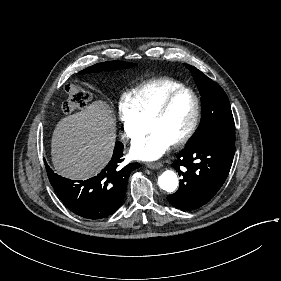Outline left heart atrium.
Listing matches in <instances>:
<instances>
[{
	"label": "left heart atrium",
	"mask_w": 281,
	"mask_h": 281,
	"mask_svg": "<svg viewBox=\"0 0 281 281\" xmlns=\"http://www.w3.org/2000/svg\"><path fill=\"white\" fill-rule=\"evenodd\" d=\"M170 146L171 142L166 137L153 132L134 145L131 155L141 161H155L162 157Z\"/></svg>",
	"instance_id": "obj_1"
}]
</instances>
